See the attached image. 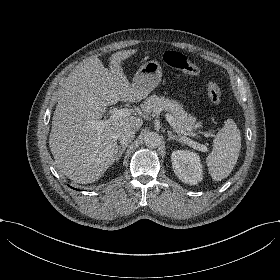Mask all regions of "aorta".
Segmentation results:
<instances>
[{"instance_id": "762f6f07", "label": "aorta", "mask_w": 280, "mask_h": 280, "mask_svg": "<svg viewBox=\"0 0 280 280\" xmlns=\"http://www.w3.org/2000/svg\"><path fill=\"white\" fill-rule=\"evenodd\" d=\"M144 142L147 147L155 148L161 144V138L156 132H146L144 134Z\"/></svg>"}]
</instances>
